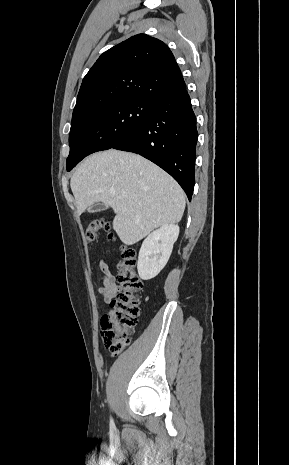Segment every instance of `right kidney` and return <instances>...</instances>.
<instances>
[{
  "label": "right kidney",
  "mask_w": 289,
  "mask_h": 465,
  "mask_svg": "<svg viewBox=\"0 0 289 465\" xmlns=\"http://www.w3.org/2000/svg\"><path fill=\"white\" fill-rule=\"evenodd\" d=\"M179 235V226L162 225L143 241L138 256V274L142 280H150L164 268Z\"/></svg>",
  "instance_id": "ca27d5eb"
}]
</instances>
